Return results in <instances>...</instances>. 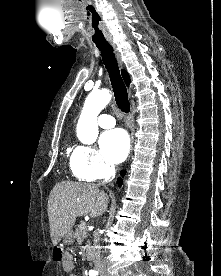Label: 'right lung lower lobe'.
<instances>
[{"label": "right lung lower lobe", "mask_w": 221, "mask_h": 276, "mask_svg": "<svg viewBox=\"0 0 221 276\" xmlns=\"http://www.w3.org/2000/svg\"><path fill=\"white\" fill-rule=\"evenodd\" d=\"M124 174H125V171H122L121 175L123 176ZM117 183H118V186L120 187L122 185V183H123L122 179L118 178Z\"/></svg>", "instance_id": "1"}]
</instances>
